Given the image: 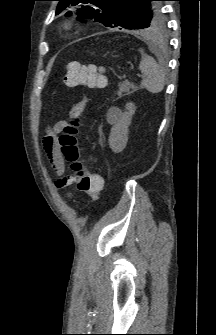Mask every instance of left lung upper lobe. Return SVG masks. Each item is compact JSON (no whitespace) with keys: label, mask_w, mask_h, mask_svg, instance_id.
Returning a JSON list of instances; mask_svg holds the SVG:
<instances>
[{"label":"left lung upper lobe","mask_w":216,"mask_h":335,"mask_svg":"<svg viewBox=\"0 0 216 335\" xmlns=\"http://www.w3.org/2000/svg\"><path fill=\"white\" fill-rule=\"evenodd\" d=\"M56 14L67 7L81 5L77 9L79 19H92L108 27L138 29L158 33L165 30V18L161 0H57ZM84 4V5H82ZM67 12L66 15H70Z\"/></svg>","instance_id":"5c2ea615"}]
</instances>
